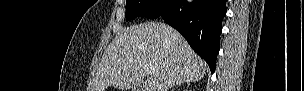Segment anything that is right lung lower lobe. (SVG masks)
Here are the masks:
<instances>
[{
    "instance_id": "right-lung-lower-lobe-1",
    "label": "right lung lower lobe",
    "mask_w": 304,
    "mask_h": 91,
    "mask_svg": "<svg viewBox=\"0 0 304 91\" xmlns=\"http://www.w3.org/2000/svg\"><path fill=\"white\" fill-rule=\"evenodd\" d=\"M225 14L226 0H169L159 17L184 36L213 73Z\"/></svg>"
}]
</instances>
